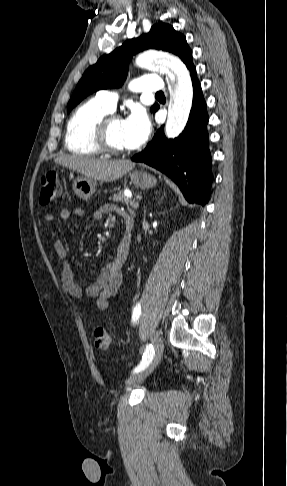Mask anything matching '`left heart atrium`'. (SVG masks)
I'll list each match as a JSON object with an SVG mask.
<instances>
[{
	"instance_id": "left-heart-atrium-1",
	"label": "left heart atrium",
	"mask_w": 287,
	"mask_h": 486,
	"mask_svg": "<svg viewBox=\"0 0 287 486\" xmlns=\"http://www.w3.org/2000/svg\"><path fill=\"white\" fill-rule=\"evenodd\" d=\"M123 131L127 148H136L148 138L150 122L144 113L134 111L123 120Z\"/></svg>"
}]
</instances>
